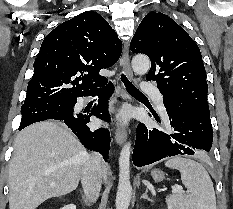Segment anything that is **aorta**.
I'll return each mask as SVG.
<instances>
[{
  "label": "aorta",
  "instance_id": "obj_1",
  "mask_svg": "<svg viewBox=\"0 0 233 209\" xmlns=\"http://www.w3.org/2000/svg\"><path fill=\"white\" fill-rule=\"evenodd\" d=\"M150 60L146 55H136L132 59V69L138 75L146 74L150 69ZM130 155L131 143L127 142L123 146L119 156V184L116 195V209H128L132 186L130 182Z\"/></svg>",
  "mask_w": 233,
  "mask_h": 209
}]
</instances>
